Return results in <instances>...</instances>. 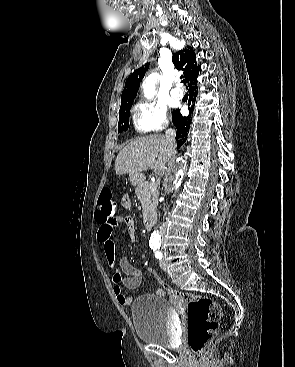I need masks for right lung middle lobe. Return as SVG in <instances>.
Returning <instances> with one entry per match:
<instances>
[{
    "mask_svg": "<svg viewBox=\"0 0 295 367\" xmlns=\"http://www.w3.org/2000/svg\"><path fill=\"white\" fill-rule=\"evenodd\" d=\"M133 102L121 105L119 111L118 133L126 131L129 126V113Z\"/></svg>",
    "mask_w": 295,
    "mask_h": 367,
    "instance_id": "right-lung-middle-lobe-1",
    "label": "right lung middle lobe"
}]
</instances>
